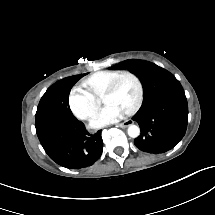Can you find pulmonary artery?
<instances>
[{
  "label": "pulmonary artery",
  "instance_id": "obj_1",
  "mask_svg": "<svg viewBox=\"0 0 215 215\" xmlns=\"http://www.w3.org/2000/svg\"><path fill=\"white\" fill-rule=\"evenodd\" d=\"M92 82H93L94 86L101 88V87L105 86L107 79H106L105 75L98 73V74L94 75Z\"/></svg>",
  "mask_w": 215,
  "mask_h": 215
}]
</instances>
